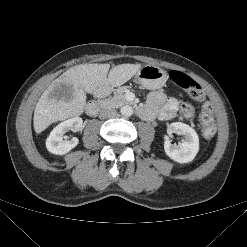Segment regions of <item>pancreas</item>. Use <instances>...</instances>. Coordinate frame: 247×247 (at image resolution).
Listing matches in <instances>:
<instances>
[{"mask_svg":"<svg viewBox=\"0 0 247 247\" xmlns=\"http://www.w3.org/2000/svg\"><path fill=\"white\" fill-rule=\"evenodd\" d=\"M126 88H119L114 92L113 97L101 100L100 103L106 108H118L128 103V100L124 96Z\"/></svg>","mask_w":247,"mask_h":247,"instance_id":"pancreas-1","label":"pancreas"}]
</instances>
